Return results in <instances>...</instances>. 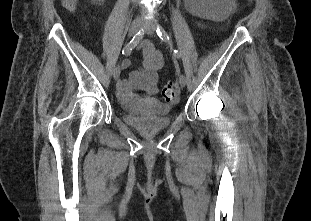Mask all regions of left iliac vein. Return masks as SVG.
Masks as SVG:
<instances>
[{
    "instance_id": "1",
    "label": "left iliac vein",
    "mask_w": 311,
    "mask_h": 221,
    "mask_svg": "<svg viewBox=\"0 0 311 221\" xmlns=\"http://www.w3.org/2000/svg\"><path fill=\"white\" fill-rule=\"evenodd\" d=\"M143 28L145 30V32L148 34V35H153L154 34V31H155V27L153 24L149 23V22H145L143 24ZM187 83V80H186V77L184 75H180L179 76V84L184 87Z\"/></svg>"
}]
</instances>
